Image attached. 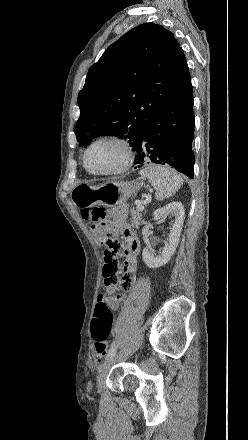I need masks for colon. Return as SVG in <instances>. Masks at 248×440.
Listing matches in <instances>:
<instances>
[{"label":"colon","instance_id":"5ec220e1","mask_svg":"<svg viewBox=\"0 0 248 440\" xmlns=\"http://www.w3.org/2000/svg\"><path fill=\"white\" fill-rule=\"evenodd\" d=\"M82 214L92 224V234L96 242L105 246L103 257H119L123 245L111 234V226L105 220L106 211L103 208H85ZM113 320L112 311L107 304H100L97 301L91 333L95 340V350L98 359L107 352V339L112 330Z\"/></svg>","mask_w":248,"mask_h":440}]
</instances>
